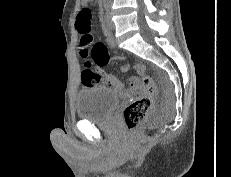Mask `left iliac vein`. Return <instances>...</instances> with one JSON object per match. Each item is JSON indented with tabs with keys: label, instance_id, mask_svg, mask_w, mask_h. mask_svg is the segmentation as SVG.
<instances>
[{
	"label": "left iliac vein",
	"instance_id": "left-iliac-vein-1",
	"mask_svg": "<svg viewBox=\"0 0 231 177\" xmlns=\"http://www.w3.org/2000/svg\"><path fill=\"white\" fill-rule=\"evenodd\" d=\"M105 22H106V26L108 29L114 30L115 25H114V22L111 20V14L109 10L106 12Z\"/></svg>",
	"mask_w": 231,
	"mask_h": 177
}]
</instances>
